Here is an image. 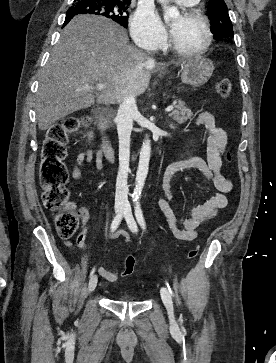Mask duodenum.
Returning <instances> with one entry per match:
<instances>
[{
	"mask_svg": "<svg viewBox=\"0 0 276 363\" xmlns=\"http://www.w3.org/2000/svg\"><path fill=\"white\" fill-rule=\"evenodd\" d=\"M98 117V131L101 139V146L102 151L105 154V156L113 160L114 157V147L111 143L109 134H108V128H109V116L107 112H99L97 114Z\"/></svg>",
	"mask_w": 276,
	"mask_h": 363,
	"instance_id": "obj_1",
	"label": "duodenum"
}]
</instances>
